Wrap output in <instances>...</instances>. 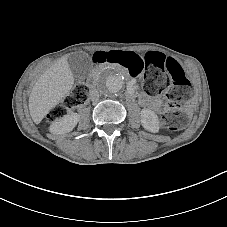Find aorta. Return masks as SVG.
I'll return each mask as SVG.
<instances>
[{
    "label": "aorta",
    "mask_w": 227,
    "mask_h": 227,
    "mask_svg": "<svg viewBox=\"0 0 227 227\" xmlns=\"http://www.w3.org/2000/svg\"><path fill=\"white\" fill-rule=\"evenodd\" d=\"M123 75L114 68L103 70L97 79V88L107 96L120 93L124 88Z\"/></svg>",
    "instance_id": "aorta-1"
}]
</instances>
